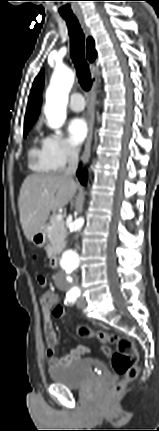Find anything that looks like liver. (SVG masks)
I'll return each mask as SVG.
<instances>
[{
  "mask_svg": "<svg viewBox=\"0 0 159 431\" xmlns=\"http://www.w3.org/2000/svg\"><path fill=\"white\" fill-rule=\"evenodd\" d=\"M78 184L59 174H32L24 180L18 199L20 223L28 241L40 232L50 212L66 206Z\"/></svg>",
  "mask_w": 159,
  "mask_h": 431,
  "instance_id": "6515ba94",
  "label": "liver"
}]
</instances>
